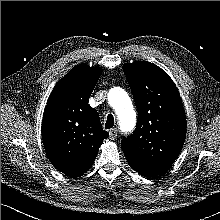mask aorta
<instances>
[{"label": "aorta", "instance_id": "1", "mask_svg": "<svg viewBox=\"0 0 220 220\" xmlns=\"http://www.w3.org/2000/svg\"><path fill=\"white\" fill-rule=\"evenodd\" d=\"M108 101L115 109L121 131L131 132L136 124V113L128 94L121 88H113L108 93Z\"/></svg>", "mask_w": 220, "mask_h": 220}]
</instances>
